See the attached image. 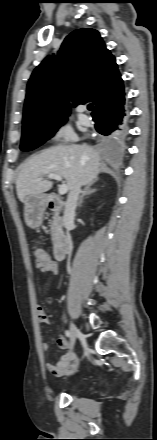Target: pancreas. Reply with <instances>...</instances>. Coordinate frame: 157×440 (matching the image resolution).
<instances>
[{"instance_id":"cf45deb5","label":"pancreas","mask_w":157,"mask_h":440,"mask_svg":"<svg viewBox=\"0 0 157 440\" xmlns=\"http://www.w3.org/2000/svg\"><path fill=\"white\" fill-rule=\"evenodd\" d=\"M52 222H51V238H52V242L56 243V241L58 240V238L60 237L61 233H62V218L59 216L58 212H55L52 218Z\"/></svg>"}]
</instances>
